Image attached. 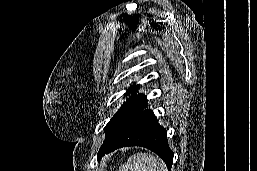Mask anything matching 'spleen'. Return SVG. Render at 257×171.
Returning <instances> with one entry per match:
<instances>
[{
	"instance_id": "1",
	"label": "spleen",
	"mask_w": 257,
	"mask_h": 171,
	"mask_svg": "<svg viewBox=\"0 0 257 171\" xmlns=\"http://www.w3.org/2000/svg\"><path fill=\"white\" fill-rule=\"evenodd\" d=\"M118 171H168L165 164L148 153H137L128 158Z\"/></svg>"
}]
</instances>
